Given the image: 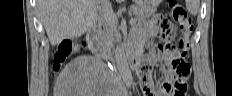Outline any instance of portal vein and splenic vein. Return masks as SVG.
Instances as JSON below:
<instances>
[{"mask_svg": "<svg viewBox=\"0 0 232 96\" xmlns=\"http://www.w3.org/2000/svg\"><path fill=\"white\" fill-rule=\"evenodd\" d=\"M100 2H101L102 5H103V9H104V7H105L106 9H110L109 0H100ZM108 17H109V18H115V15H114V13L108 12ZM130 23H131V24L136 23V19L132 18V19L130 20Z\"/></svg>", "mask_w": 232, "mask_h": 96, "instance_id": "18ae733b", "label": "portal vein and splenic vein"}]
</instances>
